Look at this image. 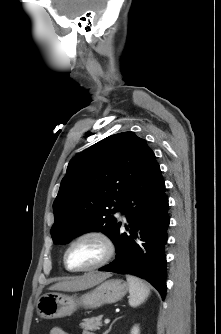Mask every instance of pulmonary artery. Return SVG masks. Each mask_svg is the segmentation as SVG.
Masks as SVG:
<instances>
[{
	"mask_svg": "<svg viewBox=\"0 0 221 334\" xmlns=\"http://www.w3.org/2000/svg\"><path fill=\"white\" fill-rule=\"evenodd\" d=\"M118 215H121V216H122L123 214H122V212H121V211H118Z\"/></svg>",
	"mask_w": 221,
	"mask_h": 334,
	"instance_id": "1",
	"label": "pulmonary artery"
}]
</instances>
